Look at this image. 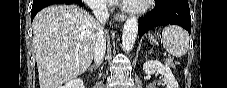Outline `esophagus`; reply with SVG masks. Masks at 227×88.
Here are the masks:
<instances>
[{
	"mask_svg": "<svg viewBox=\"0 0 227 88\" xmlns=\"http://www.w3.org/2000/svg\"><path fill=\"white\" fill-rule=\"evenodd\" d=\"M114 19L116 21H124L126 19V16L123 13H116L114 14Z\"/></svg>",
	"mask_w": 227,
	"mask_h": 88,
	"instance_id": "1",
	"label": "esophagus"
}]
</instances>
